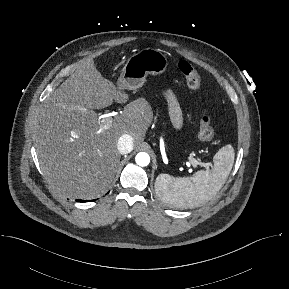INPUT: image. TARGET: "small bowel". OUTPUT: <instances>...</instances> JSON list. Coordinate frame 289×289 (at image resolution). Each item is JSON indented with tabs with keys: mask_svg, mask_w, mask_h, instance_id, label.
Segmentation results:
<instances>
[{
	"mask_svg": "<svg viewBox=\"0 0 289 289\" xmlns=\"http://www.w3.org/2000/svg\"><path fill=\"white\" fill-rule=\"evenodd\" d=\"M165 98L169 105L170 114H171L173 123L177 128H180L182 125V115H181V109H180L178 100L171 91L165 92Z\"/></svg>",
	"mask_w": 289,
	"mask_h": 289,
	"instance_id": "c3829d8e",
	"label": "small bowel"
}]
</instances>
